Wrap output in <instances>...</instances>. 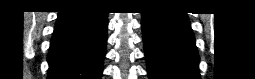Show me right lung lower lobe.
I'll return each instance as SVG.
<instances>
[{"label": "right lung lower lobe", "instance_id": "right-lung-lower-lobe-1", "mask_svg": "<svg viewBox=\"0 0 255 79\" xmlns=\"http://www.w3.org/2000/svg\"><path fill=\"white\" fill-rule=\"evenodd\" d=\"M107 13L74 8L58 14L50 42L48 79H101Z\"/></svg>", "mask_w": 255, "mask_h": 79}]
</instances>
